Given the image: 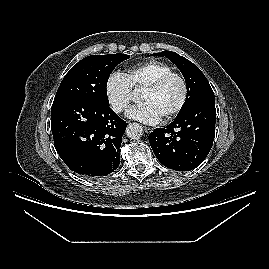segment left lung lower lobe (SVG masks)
Listing matches in <instances>:
<instances>
[{"label":"left lung lower lobe","instance_id":"obj_1","mask_svg":"<svg viewBox=\"0 0 269 269\" xmlns=\"http://www.w3.org/2000/svg\"><path fill=\"white\" fill-rule=\"evenodd\" d=\"M215 96L205 97L164 128L149 134L152 150L164 166L189 171L200 165L215 137Z\"/></svg>","mask_w":269,"mask_h":269}]
</instances>
